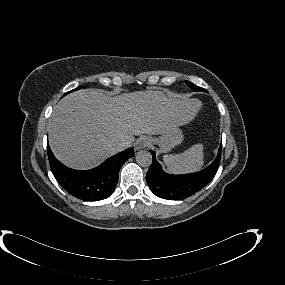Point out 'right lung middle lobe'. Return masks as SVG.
Returning a JSON list of instances; mask_svg holds the SVG:
<instances>
[{
  "label": "right lung middle lobe",
  "mask_w": 285,
  "mask_h": 285,
  "mask_svg": "<svg viewBox=\"0 0 285 285\" xmlns=\"http://www.w3.org/2000/svg\"><path fill=\"white\" fill-rule=\"evenodd\" d=\"M78 89H80V87H78V88H76V89H74V90H72V91H75V90H78ZM72 91H70V92H72Z\"/></svg>",
  "instance_id": "obj_1"
}]
</instances>
